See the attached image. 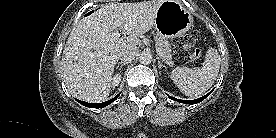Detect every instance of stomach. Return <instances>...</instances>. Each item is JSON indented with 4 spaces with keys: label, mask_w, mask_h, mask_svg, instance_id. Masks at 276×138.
<instances>
[{
    "label": "stomach",
    "mask_w": 276,
    "mask_h": 138,
    "mask_svg": "<svg viewBox=\"0 0 276 138\" xmlns=\"http://www.w3.org/2000/svg\"><path fill=\"white\" fill-rule=\"evenodd\" d=\"M193 18L183 5L175 0H165L156 12L154 27L165 38L185 34L192 26Z\"/></svg>",
    "instance_id": "1"
}]
</instances>
